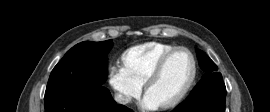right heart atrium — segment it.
I'll list each match as a JSON object with an SVG mask.
<instances>
[{
    "instance_id": "right-heart-atrium-1",
    "label": "right heart atrium",
    "mask_w": 270,
    "mask_h": 112,
    "mask_svg": "<svg viewBox=\"0 0 270 112\" xmlns=\"http://www.w3.org/2000/svg\"><path fill=\"white\" fill-rule=\"evenodd\" d=\"M108 82L115 91L117 101L121 104H128L133 99L137 98L143 88V85L120 63H115L110 67Z\"/></svg>"
}]
</instances>
